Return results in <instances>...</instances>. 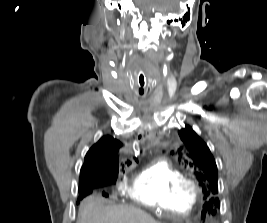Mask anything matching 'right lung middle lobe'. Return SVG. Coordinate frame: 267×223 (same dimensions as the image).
Segmentation results:
<instances>
[{"label": "right lung middle lobe", "mask_w": 267, "mask_h": 223, "mask_svg": "<svg viewBox=\"0 0 267 223\" xmlns=\"http://www.w3.org/2000/svg\"><path fill=\"white\" fill-rule=\"evenodd\" d=\"M118 169L119 168H116V169H110L108 170L102 177L101 179L105 180L106 181V184H111V183H115L117 177H118ZM90 193H82L80 195V199H82L84 196L88 195Z\"/></svg>", "instance_id": "dd1d6c3e"}]
</instances>
